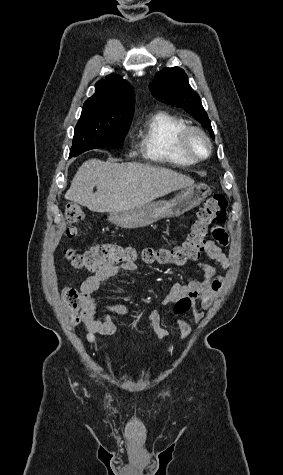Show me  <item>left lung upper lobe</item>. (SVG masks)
<instances>
[{
    "mask_svg": "<svg viewBox=\"0 0 283 475\" xmlns=\"http://www.w3.org/2000/svg\"><path fill=\"white\" fill-rule=\"evenodd\" d=\"M149 87L156 99L183 108L209 130L213 139L215 138L200 97L188 84V77L184 70L179 67L164 68L156 74L154 82Z\"/></svg>",
    "mask_w": 283,
    "mask_h": 475,
    "instance_id": "obj_1",
    "label": "left lung upper lobe"
}]
</instances>
